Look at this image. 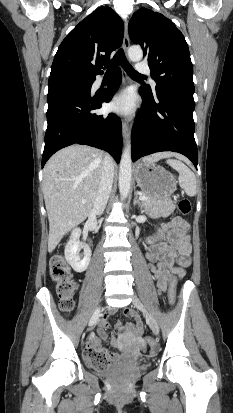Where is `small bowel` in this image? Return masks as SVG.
<instances>
[{"mask_svg": "<svg viewBox=\"0 0 233 413\" xmlns=\"http://www.w3.org/2000/svg\"><path fill=\"white\" fill-rule=\"evenodd\" d=\"M191 245L187 233V224L181 218H175L172 222L163 224L156 235L149 240L147 251L148 266L157 283L160 293L166 292L168 286L174 282L175 277L182 278L185 270L191 263ZM114 313L110 310L107 316ZM125 316L132 318L133 322L118 323L116 325L119 334H126V338L119 340L118 345L122 346L127 343V348L123 355L117 356L107 352L109 358L124 359L137 356L140 350L145 348V342L141 338L143 332V322L140 316L132 309H124ZM108 322L106 317L101 319L96 333L89 336L85 350V358L91 355L105 351L101 348L100 338H107L106 328Z\"/></svg>", "mask_w": 233, "mask_h": 413, "instance_id": "small-bowel-1", "label": "small bowel"}]
</instances>
